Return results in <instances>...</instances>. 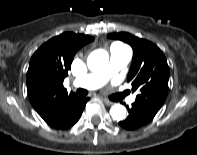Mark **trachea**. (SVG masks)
<instances>
[{"instance_id": "1", "label": "trachea", "mask_w": 197, "mask_h": 155, "mask_svg": "<svg viewBox=\"0 0 197 155\" xmlns=\"http://www.w3.org/2000/svg\"><path fill=\"white\" fill-rule=\"evenodd\" d=\"M77 93L79 95H85L87 92L84 89H78ZM125 96V94H120V99L123 98Z\"/></svg>"}]
</instances>
